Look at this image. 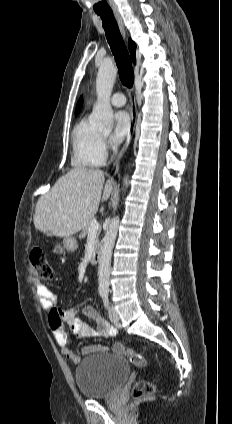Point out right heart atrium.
I'll use <instances>...</instances> for the list:
<instances>
[{"label": "right heart atrium", "instance_id": "obj_1", "mask_svg": "<svg viewBox=\"0 0 232 424\" xmlns=\"http://www.w3.org/2000/svg\"><path fill=\"white\" fill-rule=\"evenodd\" d=\"M104 146H105V147H107V146H108V143H107V141H106V140H104Z\"/></svg>", "mask_w": 232, "mask_h": 424}]
</instances>
